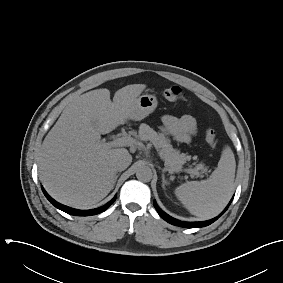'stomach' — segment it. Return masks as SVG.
<instances>
[{
	"mask_svg": "<svg viewBox=\"0 0 283 283\" xmlns=\"http://www.w3.org/2000/svg\"><path fill=\"white\" fill-rule=\"evenodd\" d=\"M158 105V101L155 95L143 94L135 99L130 109V119L142 120L149 114L154 112Z\"/></svg>",
	"mask_w": 283,
	"mask_h": 283,
	"instance_id": "obj_1",
	"label": "stomach"
}]
</instances>
